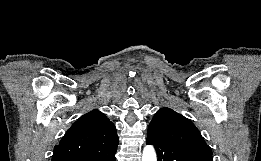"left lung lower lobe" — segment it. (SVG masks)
<instances>
[{
  "instance_id": "left-lung-lower-lobe-1",
  "label": "left lung lower lobe",
  "mask_w": 261,
  "mask_h": 161,
  "mask_svg": "<svg viewBox=\"0 0 261 161\" xmlns=\"http://www.w3.org/2000/svg\"><path fill=\"white\" fill-rule=\"evenodd\" d=\"M147 145H153L158 161H213L212 154L183 146H169L152 140H146Z\"/></svg>"
}]
</instances>
